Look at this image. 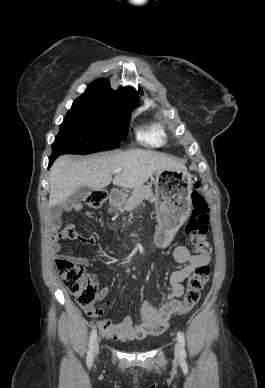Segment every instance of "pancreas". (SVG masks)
Returning a JSON list of instances; mask_svg holds the SVG:
<instances>
[{
  "mask_svg": "<svg viewBox=\"0 0 265 388\" xmlns=\"http://www.w3.org/2000/svg\"><path fill=\"white\" fill-rule=\"evenodd\" d=\"M142 200H150V202H153V192L150 186H138V188H134L132 196H130L124 206V210H127V212L134 210V208L140 206Z\"/></svg>",
  "mask_w": 265,
  "mask_h": 388,
  "instance_id": "1",
  "label": "pancreas"
}]
</instances>
